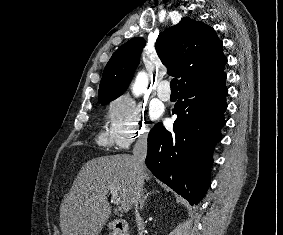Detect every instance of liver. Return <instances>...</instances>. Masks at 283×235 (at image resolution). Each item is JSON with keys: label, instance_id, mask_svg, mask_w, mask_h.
I'll return each instance as SVG.
<instances>
[{"label": "liver", "instance_id": "1", "mask_svg": "<svg viewBox=\"0 0 283 235\" xmlns=\"http://www.w3.org/2000/svg\"><path fill=\"white\" fill-rule=\"evenodd\" d=\"M136 171L132 155L117 154L89 160L80 170L60 208L62 235H99L111 215L107 199L114 187L121 209L133 206ZM146 169L144 180L151 179Z\"/></svg>", "mask_w": 283, "mask_h": 235}]
</instances>
